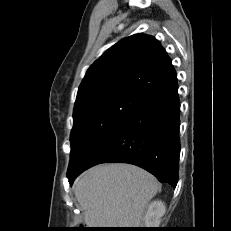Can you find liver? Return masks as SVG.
<instances>
[{
	"mask_svg": "<svg viewBox=\"0 0 231 231\" xmlns=\"http://www.w3.org/2000/svg\"><path fill=\"white\" fill-rule=\"evenodd\" d=\"M73 189L89 228H138L160 185L141 168L115 163L87 170Z\"/></svg>",
	"mask_w": 231,
	"mask_h": 231,
	"instance_id": "1",
	"label": "liver"
}]
</instances>
